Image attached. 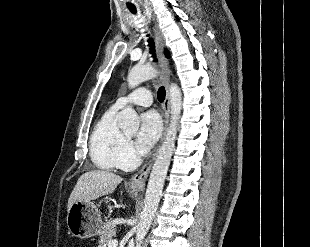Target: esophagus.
I'll use <instances>...</instances> for the list:
<instances>
[{
    "label": "esophagus",
    "mask_w": 310,
    "mask_h": 247,
    "mask_svg": "<svg viewBox=\"0 0 310 247\" xmlns=\"http://www.w3.org/2000/svg\"><path fill=\"white\" fill-rule=\"evenodd\" d=\"M153 29H154V34H155L159 61H160L163 75H164V84H165V89H166V97H165V101L163 104L164 130H163V135L160 141L162 142V140L164 139L167 127H168V123H169V115H170L169 78H170L171 71H170L168 60L165 58L163 54V47H164L163 37L156 26H154ZM156 154H157V151L153 154L152 158L129 180V188L133 192L139 193L144 190L146 180L148 178V175L153 165Z\"/></svg>",
    "instance_id": "obj_1"
}]
</instances>
